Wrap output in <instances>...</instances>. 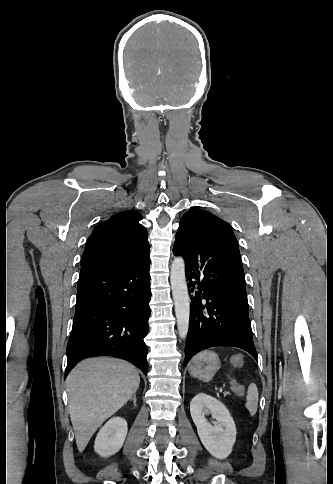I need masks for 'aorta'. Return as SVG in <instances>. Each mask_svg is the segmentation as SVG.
<instances>
[{
  "label": "aorta",
  "instance_id": "1",
  "mask_svg": "<svg viewBox=\"0 0 333 484\" xmlns=\"http://www.w3.org/2000/svg\"><path fill=\"white\" fill-rule=\"evenodd\" d=\"M170 282L178 333L182 339H186L189 330L190 306L185 277V262L181 256L175 257L171 264Z\"/></svg>",
  "mask_w": 333,
  "mask_h": 484
}]
</instances>
